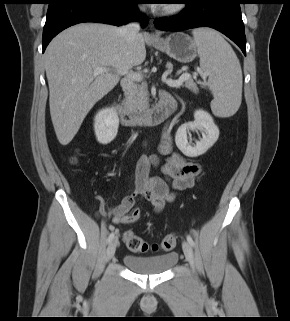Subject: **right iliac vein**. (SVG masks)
I'll return each mask as SVG.
<instances>
[{
    "mask_svg": "<svg viewBox=\"0 0 290 321\" xmlns=\"http://www.w3.org/2000/svg\"><path fill=\"white\" fill-rule=\"evenodd\" d=\"M116 246H117V239H114L107 248V252H106L107 260H110L114 256L116 251Z\"/></svg>",
    "mask_w": 290,
    "mask_h": 321,
    "instance_id": "right-iliac-vein-1",
    "label": "right iliac vein"
}]
</instances>
